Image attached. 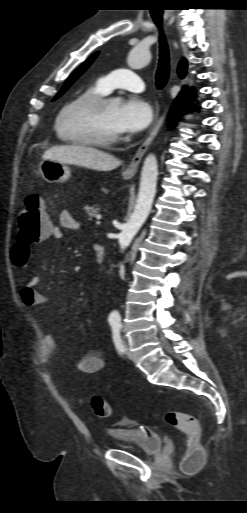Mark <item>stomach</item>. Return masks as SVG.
I'll return each instance as SVG.
<instances>
[{
	"label": "stomach",
	"mask_w": 247,
	"mask_h": 513,
	"mask_svg": "<svg viewBox=\"0 0 247 513\" xmlns=\"http://www.w3.org/2000/svg\"><path fill=\"white\" fill-rule=\"evenodd\" d=\"M39 173L48 183H62L67 181L71 176L70 169L67 164L51 159L43 160L40 163ZM124 178L128 179L130 177L124 175Z\"/></svg>",
	"instance_id": "obj_1"
}]
</instances>
